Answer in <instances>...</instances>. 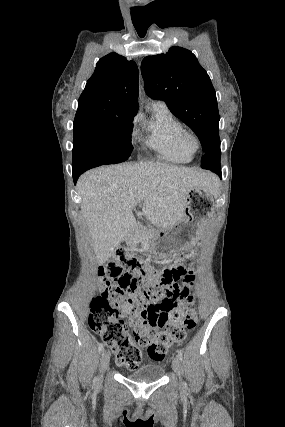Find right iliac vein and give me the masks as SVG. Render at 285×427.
Wrapping results in <instances>:
<instances>
[{
  "label": "right iliac vein",
  "instance_id": "63e3f726",
  "mask_svg": "<svg viewBox=\"0 0 285 427\" xmlns=\"http://www.w3.org/2000/svg\"><path fill=\"white\" fill-rule=\"evenodd\" d=\"M109 363H110V353L108 351H103L101 356V373H104L108 369ZM96 382L99 383L100 378H98Z\"/></svg>",
  "mask_w": 285,
  "mask_h": 427
}]
</instances>
